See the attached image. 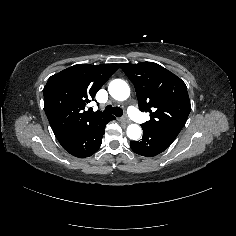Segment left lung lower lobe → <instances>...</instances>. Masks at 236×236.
I'll return each instance as SVG.
<instances>
[{
	"mask_svg": "<svg viewBox=\"0 0 236 236\" xmlns=\"http://www.w3.org/2000/svg\"><path fill=\"white\" fill-rule=\"evenodd\" d=\"M143 137L140 141L130 142L131 149L142 156L153 157L166 150L177 137L178 133L164 130H154L144 125Z\"/></svg>",
	"mask_w": 236,
	"mask_h": 236,
	"instance_id": "left-lung-lower-lobe-1",
	"label": "left lung lower lobe"
}]
</instances>
